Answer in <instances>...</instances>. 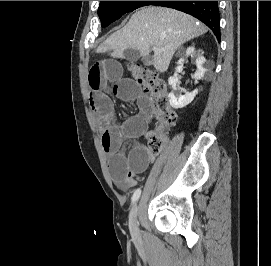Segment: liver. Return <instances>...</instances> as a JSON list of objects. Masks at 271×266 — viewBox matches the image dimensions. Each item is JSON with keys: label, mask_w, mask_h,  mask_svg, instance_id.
Returning <instances> with one entry per match:
<instances>
[{"label": "liver", "mask_w": 271, "mask_h": 266, "mask_svg": "<svg viewBox=\"0 0 271 266\" xmlns=\"http://www.w3.org/2000/svg\"><path fill=\"white\" fill-rule=\"evenodd\" d=\"M207 31L204 24L188 14L148 6L136 11L121 30L107 38L97 53L112 50V57L124 58V51L132 49L147 57L151 47H157L161 51L154 54L153 65L159 72H165L177 48Z\"/></svg>", "instance_id": "1"}]
</instances>
